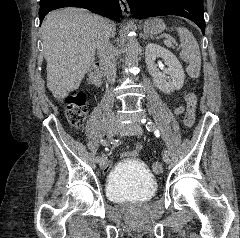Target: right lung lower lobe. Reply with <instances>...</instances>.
<instances>
[{
  "label": "right lung lower lobe",
  "instance_id": "right-lung-lower-lobe-1",
  "mask_svg": "<svg viewBox=\"0 0 240 238\" xmlns=\"http://www.w3.org/2000/svg\"><path fill=\"white\" fill-rule=\"evenodd\" d=\"M68 6L85 8L116 21H118L122 15L118 0H46L44 3L40 4V23H42L45 15L51 10Z\"/></svg>",
  "mask_w": 240,
  "mask_h": 238
}]
</instances>
